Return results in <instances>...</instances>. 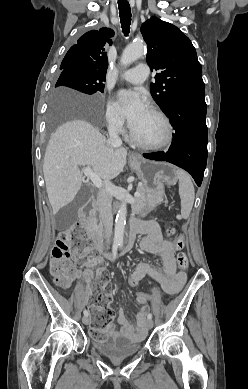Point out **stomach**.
<instances>
[{"mask_svg": "<svg viewBox=\"0 0 248 389\" xmlns=\"http://www.w3.org/2000/svg\"><path fill=\"white\" fill-rule=\"evenodd\" d=\"M131 167L136 171L143 183V190L146 191V203L150 208L159 204L165 194V186L175 184L178 170L174 164L139 159L131 161ZM147 214L148 212H141ZM144 217L143 215L139 216Z\"/></svg>", "mask_w": 248, "mask_h": 389, "instance_id": "0dacf381", "label": "stomach"}]
</instances>
